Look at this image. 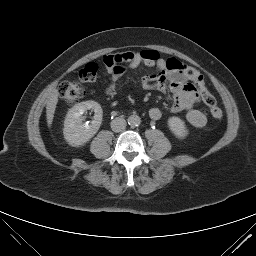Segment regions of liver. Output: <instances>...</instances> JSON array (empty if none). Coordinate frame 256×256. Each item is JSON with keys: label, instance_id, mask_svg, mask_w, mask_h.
<instances>
[{"label": "liver", "instance_id": "6515ba94", "mask_svg": "<svg viewBox=\"0 0 256 256\" xmlns=\"http://www.w3.org/2000/svg\"><path fill=\"white\" fill-rule=\"evenodd\" d=\"M58 94H59L58 91L54 89L47 102L46 118H47L48 127H50L53 122L56 105L58 103Z\"/></svg>", "mask_w": 256, "mask_h": 256}]
</instances>
